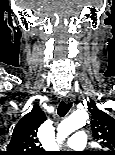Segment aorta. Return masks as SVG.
Wrapping results in <instances>:
<instances>
[{"label":"aorta","mask_w":115,"mask_h":155,"mask_svg":"<svg viewBox=\"0 0 115 155\" xmlns=\"http://www.w3.org/2000/svg\"><path fill=\"white\" fill-rule=\"evenodd\" d=\"M87 120L88 114L84 110L76 111L64 119L57 128L58 142L62 143L71 133L85 126Z\"/></svg>","instance_id":"1"}]
</instances>
